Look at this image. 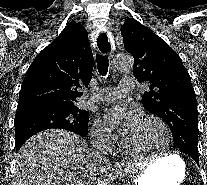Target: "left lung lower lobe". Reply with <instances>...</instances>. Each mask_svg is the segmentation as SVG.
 I'll return each instance as SVG.
<instances>
[{
  "label": "left lung lower lobe",
  "instance_id": "1",
  "mask_svg": "<svg viewBox=\"0 0 207 185\" xmlns=\"http://www.w3.org/2000/svg\"><path fill=\"white\" fill-rule=\"evenodd\" d=\"M188 155H190L197 164H199V154H195V153H189Z\"/></svg>",
  "mask_w": 207,
  "mask_h": 185
}]
</instances>
